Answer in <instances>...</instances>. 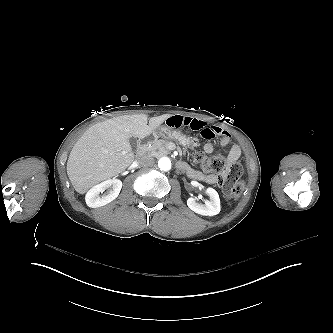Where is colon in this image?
<instances>
[{
    "instance_id": "obj_1",
    "label": "colon",
    "mask_w": 333,
    "mask_h": 333,
    "mask_svg": "<svg viewBox=\"0 0 333 333\" xmlns=\"http://www.w3.org/2000/svg\"><path fill=\"white\" fill-rule=\"evenodd\" d=\"M226 160L222 154L206 155L198 151L194 155V161L206 174L216 173V184L227 197H239L245 190L242 165L239 162L223 165Z\"/></svg>"
}]
</instances>
